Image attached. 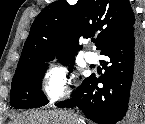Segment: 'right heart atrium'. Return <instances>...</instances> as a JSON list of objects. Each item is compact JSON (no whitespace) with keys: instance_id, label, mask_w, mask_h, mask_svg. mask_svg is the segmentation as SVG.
Here are the masks:
<instances>
[{"instance_id":"d8ad5b80","label":"right heart atrium","mask_w":145,"mask_h":124,"mask_svg":"<svg viewBox=\"0 0 145 124\" xmlns=\"http://www.w3.org/2000/svg\"><path fill=\"white\" fill-rule=\"evenodd\" d=\"M73 85L72 74L58 64H50L43 76V92L51 101H57L70 94Z\"/></svg>"}]
</instances>
